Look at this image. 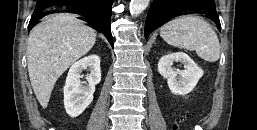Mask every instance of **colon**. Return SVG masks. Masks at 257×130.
I'll return each instance as SVG.
<instances>
[{
    "label": "colon",
    "mask_w": 257,
    "mask_h": 130,
    "mask_svg": "<svg viewBox=\"0 0 257 130\" xmlns=\"http://www.w3.org/2000/svg\"><path fill=\"white\" fill-rule=\"evenodd\" d=\"M188 118V115L182 116L173 126V130H181L182 123Z\"/></svg>",
    "instance_id": "colon-1"
}]
</instances>
